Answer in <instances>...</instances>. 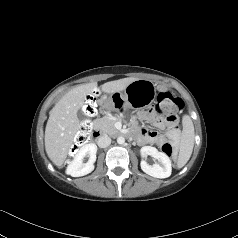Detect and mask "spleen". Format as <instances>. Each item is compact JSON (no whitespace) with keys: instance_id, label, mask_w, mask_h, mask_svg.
<instances>
[{"instance_id":"obj_1","label":"spleen","mask_w":238,"mask_h":238,"mask_svg":"<svg viewBox=\"0 0 238 238\" xmlns=\"http://www.w3.org/2000/svg\"><path fill=\"white\" fill-rule=\"evenodd\" d=\"M183 130L177 167L182 168L190 159L194 147V126L191 118L185 115L182 120Z\"/></svg>"}]
</instances>
